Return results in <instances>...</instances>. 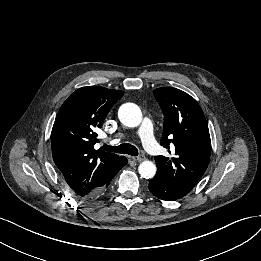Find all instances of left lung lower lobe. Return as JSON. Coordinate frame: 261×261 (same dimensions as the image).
<instances>
[{
    "mask_svg": "<svg viewBox=\"0 0 261 261\" xmlns=\"http://www.w3.org/2000/svg\"><path fill=\"white\" fill-rule=\"evenodd\" d=\"M149 190L154 196L165 201H175L185 196L170 187L169 184L157 174L150 180Z\"/></svg>",
    "mask_w": 261,
    "mask_h": 261,
    "instance_id": "1",
    "label": "left lung lower lobe"
}]
</instances>
